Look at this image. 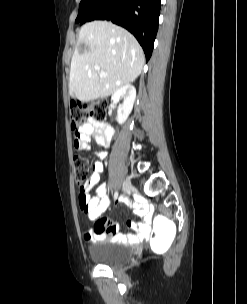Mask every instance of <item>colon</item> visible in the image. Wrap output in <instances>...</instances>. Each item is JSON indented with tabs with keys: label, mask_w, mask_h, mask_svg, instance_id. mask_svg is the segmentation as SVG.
<instances>
[{
	"label": "colon",
	"mask_w": 247,
	"mask_h": 304,
	"mask_svg": "<svg viewBox=\"0 0 247 304\" xmlns=\"http://www.w3.org/2000/svg\"><path fill=\"white\" fill-rule=\"evenodd\" d=\"M108 104L103 100H92L84 103H78L71 106L70 121L74 134H78L79 129L87 123L88 120H104L107 114ZM78 149L77 143L75 146ZM85 158L84 160L82 158ZM74 175L77 185L80 189V195H83L84 185L89 172V161L80 153L73 158ZM160 215V212H157ZM151 236L148 237L149 253H168L171 248V240H175L174 221L166 216L154 218Z\"/></svg>",
	"instance_id": "1"
}]
</instances>
